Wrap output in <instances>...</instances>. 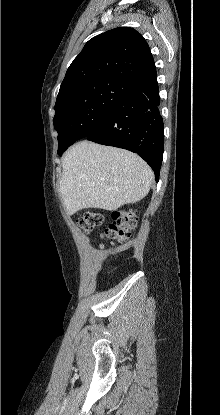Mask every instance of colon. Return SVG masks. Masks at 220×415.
Segmentation results:
<instances>
[{
	"instance_id": "5ec220e1",
	"label": "colon",
	"mask_w": 220,
	"mask_h": 415,
	"mask_svg": "<svg viewBox=\"0 0 220 415\" xmlns=\"http://www.w3.org/2000/svg\"><path fill=\"white\" fill-rule=\"evenodd\" d=\"M101 213L92 210L86 211L76 219V223L85 233H91L103 224ZM136 227L133 214L127 210H117L112 214V222L104 231V236L116 242L126 241Z\"/></svg>"
}]
</instances>
